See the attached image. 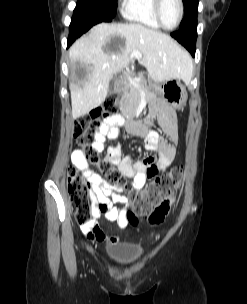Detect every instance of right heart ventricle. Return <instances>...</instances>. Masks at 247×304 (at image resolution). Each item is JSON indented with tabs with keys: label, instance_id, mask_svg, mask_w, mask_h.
<instances>
[{
	"label": "right heart ventricle",
	"instance_id": "right-heart-ventricle-1",
	"mask_svg": "<svg viewBox=\"0 0 247 304\" xmlns=\"http://www.w3.org/2000/svg\"><path fill=\"white\" fill-rule=\"evenodd\" d=\"M122 14L130 21L154 29L161 28L154 15L153 0H124Z\"/></svg>",
	"mask_w": 247,
	"mask_h": 304
}]
</instances>
